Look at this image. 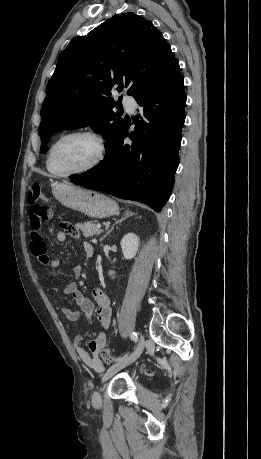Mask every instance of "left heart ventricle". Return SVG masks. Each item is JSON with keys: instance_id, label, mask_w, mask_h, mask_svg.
<instances>
[{"instance_id": "1", "label": "left heart ventricle", "mask_w": 261, "mask_h": 459, "mask_svg": "<svg viewBox=\"0 0 261 459\" xmlns=\"http://www.w3.org/2000/svg\"><path fill=\"white\" fill-rule=\"evenodd\" d=\"M96 152L93 141L84 136L62 140L55 147L50 165L56 173H67L88 164Z\"/></svg>"}]
</instances>
